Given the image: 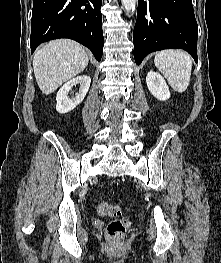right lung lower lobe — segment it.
<instances>
[{"mask_svg": "<svg viewBox=\"0 0 221 263\" xmlns=\"http://www.w3.org/2000/svg\"><path fill=\"white\" fill-rule=\"evenodd\" d=\"M102 0H33L31 52L57 38L88 47L97 61L103 55Z\"/></svg>", "mask_w": 221, "mask_h": 263, "instance_id": "obj_1", "label": "right lung lower lobe"}]
</instances>
